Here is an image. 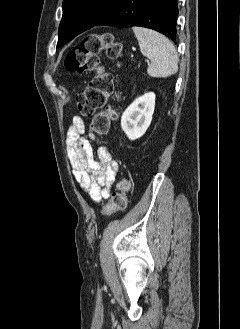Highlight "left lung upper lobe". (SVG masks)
I'll return each mask as SVG.
<instances>
[{"label": "left lung upper lobe", "instance_id": "5c2ea615", "mask_svg": "<svg viewBox=\"0 0 240 329\" xmlns=\"http://www.w3.org/2000/svg\"><path fill=\"white\" fill-rule=\"evenodd\" d=\"M119 0H64L57 47L98 23Z\"/></svg>", "mask_w": 240, "mask_h": 329}]
</instances>
